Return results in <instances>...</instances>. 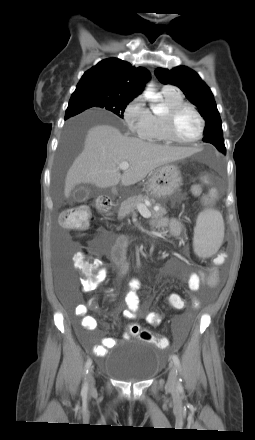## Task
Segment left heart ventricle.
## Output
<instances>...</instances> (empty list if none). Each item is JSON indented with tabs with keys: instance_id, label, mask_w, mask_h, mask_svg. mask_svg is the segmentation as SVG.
<instances>
[{
	"instance_id": "obj_1",
	"label": "left heart ventricle",
	"mask_w": 255,
	"mask_h": 440,
	"mask_svg": "<svg viewBox=\"0 0 255 440\" xmlns=\"http://www.w3.org/2000/svg\"><path fill=\"white\" fill-rule=\"evenodd\" d=\"M174 129L179 139L190 140L198 134L199 120L191 110H184L177 116Z\"/></svg>"
}]
</instances>
